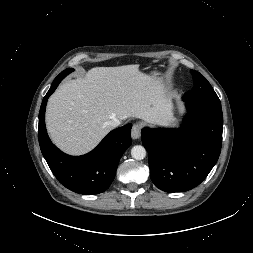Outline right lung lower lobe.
<instances>
[{
  "label": "right lung lower lobe",
  "instance_id": "98d812e1",
  "mask_svg": "<svg viewBox=\"0 0 253 253\" xmlns=\"http://www.w3.org/2000/svg\"><path fill=\"white\" fill-rule=\"evenodd\" d=\"M61 78H55L45 95L40 112L38 138L41 152L58 181L69 190L92 195L104 192L111 185L119 160L131 145V127L127 124L111 131L100 144L83 156H70L50 141L45 127L48 97L55 91Z\"/></svg>",
  "mask_w": 253,
  "mask_h": 253
}]
</instances>
